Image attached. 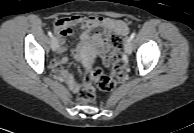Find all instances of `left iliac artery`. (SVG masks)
<instances>
[{
    "label": "left iliac artery",
    "mask_w": 194,
    "mask_h": 133,
    "mask_svg": "<svg viewBox=\"0 0 194 133\" xmlns=\"http://www.w3.org/2000/svg\"><path fill=\"white\" fill-rule=\"evenodd\" d=\"M135 35H136V32H133V33L130 35L129 40L132 41L133 38L135 37Z\"/></svg>",
    "instance_id": "obj_1"
}]
</instances>
